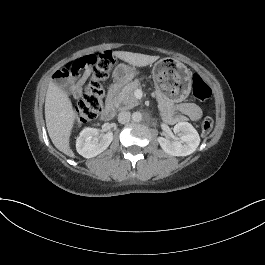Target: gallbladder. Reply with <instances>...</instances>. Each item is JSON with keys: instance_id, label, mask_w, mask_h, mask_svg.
I'll list each match as a JSON object with an SVG mask.
<instances>
[{"instance_id": "obj_1", "label": "gallbladder", "mask_w": 265, "mask_h": 265, "mask_svg": "<svg viewBox=\"0 0 265 265\" xmlns=\"http://www.w3.org/2000/svg\"><path fill=\"white\" fill-rule=\"evenodd\" d=\"M74 78H75V79L73 80V77H71V78H70V81L73 80V81L75 82V81H77V80L79 79L78 76H75Z\"/></svg>"}]
</instances>
